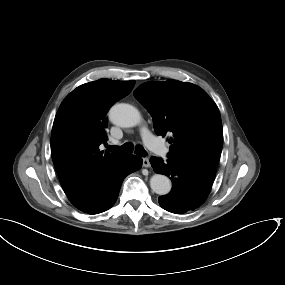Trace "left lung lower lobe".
<instances>
[{"label":"left lung lower lobe","mask_w":285,"mask_h":285,"mask_svg":"<svg viewBox=\"0 0 285 285\" xmlns=\"http://www.w3.org/2000/svg\"><path fill=\"white\" fill-rule=\"evenodd\" d=\"M150 163L156 173L169 176L173 184L171 193L158 199L163 209L183 214L205 202L212 188L214 172L170 158L163 162L158 157H151Z\"/></svg>","instance_id":"0a47b994"}]
</instances>
